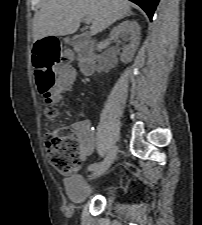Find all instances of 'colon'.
<instances>
[{
	"instance_id": "obj_1",
	"label": "colon",
	"mask_w": 202,
	"mask_h": 225,
	"mask_svg": "<svg viewBox=\"0 0 202 225\" xmlns=\"http://www.w3.org/2000/svg\"><path fill=\"white\" fill-rule=\"evenodd\" d=\"M35 57V78L40 96L47 107L48 117L57 115L56 104L62 96V89L54 86L56 77L63 75L53 72L54 66H64L71 60V55L60 48V39L47 37L38 40L32 49ZM50 164L60 173H73L80 168L79 145L68 127H62L48 135L45 140Z\"/></svg>"
}]
</instances>
